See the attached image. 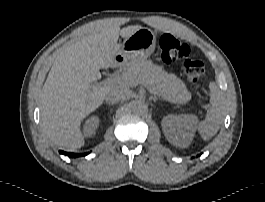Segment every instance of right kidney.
<instances>
[{
	"instance_id": "1",
	"label": "right kidney",
	"mask_w": 265,
	"mask_h": 202,
	"mask_svg": "<svg viewBox=\"0 0 265 202\" xmlns=\"http://www.w3.org/2000/svg\"><path fill=\"white\" fill-rule=\"evenodd\" d=\"M99 118L97 116H92L90 117L84 125V134L86 136H92L95 134L96 129L98 128L99 125Z\"/></svg>"
}]
</instances>
